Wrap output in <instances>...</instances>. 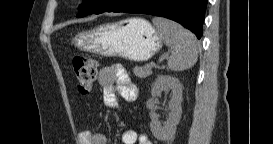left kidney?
Wrapping results in <instances>:
<instances>
[{
	"label": "left kidney",
	"instance_id": "5707ae66",
	"mask_svg": "<svg viewBox=\"0 0 273 144\" xmlns=\"http://www.w3.org/2000/svg\"><path fill=\"white\" fill-rule=\"evenodd\" d=\"M172 91L169 101L168 120L162 126L155 113L154 99L161 95L162 91ZM152 98L146 102L147 108L150 110V129L153 136L161 141H170L173 139L176 127L181 119L182 108V84L180 81L170 75H159L151 89Z\"/></svg>",
	"mask_w": 273,
	"mask_h": 144
}]
</instances>
